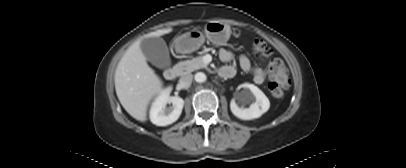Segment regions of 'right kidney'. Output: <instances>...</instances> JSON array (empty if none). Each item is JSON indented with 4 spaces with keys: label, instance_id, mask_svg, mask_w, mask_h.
<instances>
[{
    "label": "right kidney",
    "instance_id": "obj_1",
    "mask_svg": "<svg viewBox=\"0 0 406 168\" xmlns=\"http://www.w3.org/2000/svg\"><path fill=\"white\" fill-rule=\"evenodd\" d=\"M171 88L162 91L150 109V120L157 126H167L178 120L182 113L184 100L178 96L170 97ZM167 104H172L167 107Z\"/></svg>",
    "mask_w": 406,
    "mask_h": 168
}]
</instances>
